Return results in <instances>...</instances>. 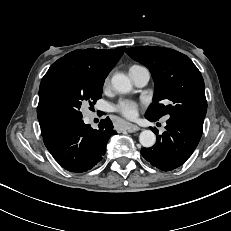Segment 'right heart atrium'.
<instances>
[{
    "label": "right heart atrium",
    "instance_id": "obj_1",
    "mask_svg": "<svg viewBox=\"0 0 231 231\" xmlns=\"http://www.w3.org/2000/svg\"><path fill=\"white\" fill-rule=\"evenodd\" d=\"M110 85V76H107L104 80V84H103V87L104 89H107Z\"/></svg>",
    "mask_w": 231,
    "mask_h": 231
}]
</instances>
